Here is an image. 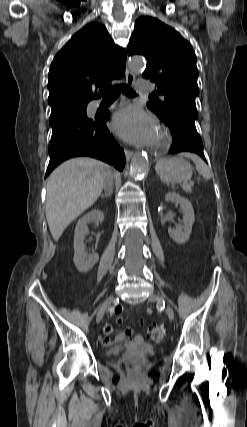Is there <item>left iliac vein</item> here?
<instances>
[{"label":"left iliac vein","instance_id":"left-iliac-vein-1","mask_svg":"<svg viewBox=\"0 0 247 427\" xmlns=\"http://www.w3.org/2000/svg\"><path fill=\"white\" fill-rule=\"evenodd\" d=\"M149 301H151V302H162L163 298L159 294L152 293L149 296ZM166 313H167L170 320H174V311H173L172 307L168 304L166 305Z\"/></svg>","mask_w":247,"mask_h":427}]
</instances>
